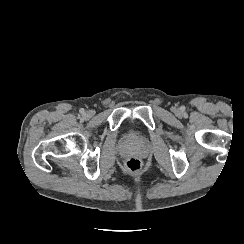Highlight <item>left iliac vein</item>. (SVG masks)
<instances>
[{"label": "left iliac vein", "mask_w": 244, "mask_h": 244, "mask_svg": "<svg viewBox=\"0 0 244 244\" xmlns=\"http://www.w3.org/2000/svg\"><path fill=\"white\" fill-rule=\"evenodd\" d=\"M175 113H176V114H179V115H181V114H182V112H181V110H180V109H175Z\"/></svg>", "instance_id": "obj_1"}]
</instances>
